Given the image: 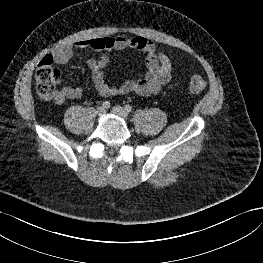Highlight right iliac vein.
<instances>
[{"label":"right iliac vein","instance_id":"obj_1","mask_svg":"<svg viewBox=\"0 0 263 263\" xmlns=\"http://www.w3.org/2000/svg\"><path fill=\"white\" fill-rule=\"evenodd\" d=\"M96 112H97L98 116H103L106 113V109L103 106H101V107L97 108Z\"/></svg>","mask_w":263,"mask_h":263}]
</instances>
